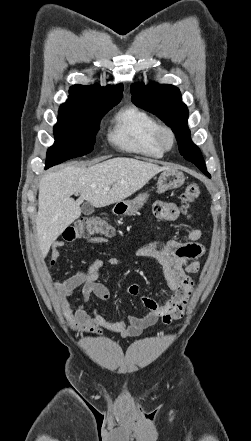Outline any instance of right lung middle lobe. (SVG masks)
Returning a JSON list of instances; mask_svg holds the SVG:
<instances>
[{
    "label": "right lung middle lobe",
    "mask_w": 251,
    "mask_h": 441,
    "mask_svg": "<svg viewBox=\"0 0 251 441\" xmlns=\"http://www.w3.org/2000/svg\"><path fill=\"white\" fill-rule=\"evenodd\" d=\"M119 101L88 100L74 111H59L55 143L47 151V168L93 150L102 116Z\"/></svg>",
    "instance_id": "dd1d6c3e"
}]
</instances>
